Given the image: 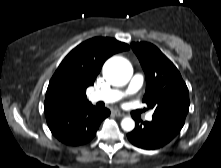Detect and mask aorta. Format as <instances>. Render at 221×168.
<instances>
[{
	"mask_svg": "<svg viewBox=\"0 0 221 168\" xmlns=\"http://www.w3.org/2000/svg\"><path fill=\"white\" fill-rule=\"evenodd\" d=\"M133 74L131 63L123 57H112L103 66V76L114 86H123L129 82ZM124 131L130 132L135 127V122L130 117H125L121 121Z\"/></svg>",
	"mask_w": 221,
	"mask_h": 168,
	"instance_id": "1",
	"label": "aorta"
}]
</instances>
